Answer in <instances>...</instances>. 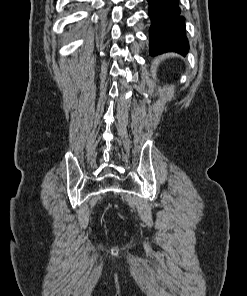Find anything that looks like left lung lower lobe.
I'll return each mask as SVG.
<instances>
[{"label":"left lung lower lobe","instance_id":"0a47b994","mask_svg":"<svg viewBox=\"0 0 247 296\" xmlns=\"http://www.w3.org/2000/svg\"><path fill=\"white\" fill-rule=\"evenodd\" d=\"M151 18L150 55L174 51L186 55L189 44L179 0H148Z\"/></svg>","mask_w":247,"mask_h":296}]
</instances>
